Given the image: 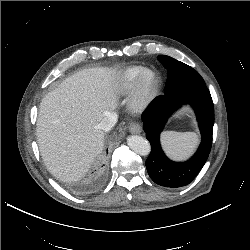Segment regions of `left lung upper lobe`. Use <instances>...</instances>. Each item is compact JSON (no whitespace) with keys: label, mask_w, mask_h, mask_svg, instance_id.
Instances as JSON below:
<instances>
[{"label":"left lung upper lobe","mask_w":250,"mask_h":250,"mask_svg":"<svg viewBox=\"0 0 250 250\" xmlns=\"http://www.w3.org/2000/svg\"><path fill=\"white\" fill-rule=\"evenodd\" d=\"M157 58L168 71L165 94L205 84L203 78L192 67L169 56L159 55Z\"/></svg>","instance_id":"1"}]
</instances>
